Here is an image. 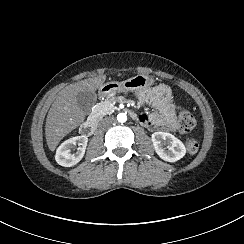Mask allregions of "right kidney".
<instances>
[{
    "mask_svg": "<svg viewBox=\"0 0 244 244\" xmlns=\"http://www.w3.org/2000/svg\"><path fill=\"white\" fill-rule=\"evenodd\" d=\"M87 136H76L64 141L56 150L55 160L64 167L76 165L84 156L87 147ZM78 144V151L71 153V148Z\"/></svg>",
    "mask_w": 244,
    "mask_h": 244,
    "instance_id": "1",
    "label": "right kidney"
}]
</instances>
